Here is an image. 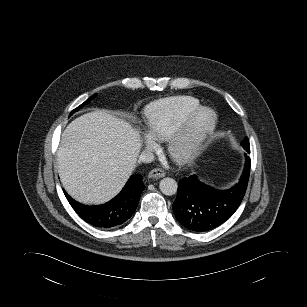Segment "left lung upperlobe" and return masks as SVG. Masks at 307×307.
I'll return each instance as SVG.
<instances>
[{"instance_id": "5c2ea615", "label": "left lung upper lobe", "mask_w": 307, "mask_h": 307, "mask_svg": "<svg viewBox=\"0 0 307 307\" xmlns=\"http://www.w3.org/2000/svg\"><path fill=\"white\" fill-rule=\"evenodd\" d=\"M241 145L246 149L247 152L250 153V145H249V140L248 138H244V140L241 142Z\"/></svg>"}]
</instances>
